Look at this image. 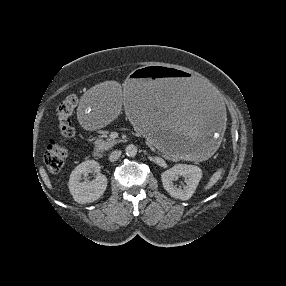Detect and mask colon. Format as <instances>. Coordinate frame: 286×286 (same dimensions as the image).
Masks as SVG:
<instances>
[{
  "instance_id": "1",
  "label": "colon",
  "mask_w": 286,
  "mask_h": 286,
  "mask_svg": "<svg viewBox=\"0 0 286 286\" xmlns=\"http://www.w3.org/2000/svg\"><path fill=\"white\" fill-rule=\"evenodd\" d=\"M77 97L70 95L58 106L56 111V124L60 137L64 140L74 136L75 130L72 125V115L77 104ZM68 149L58 141H51L44 155V161L52 173H58L64 167L68 158Z\"/></svg>"
}]
</instances>
